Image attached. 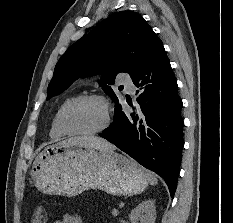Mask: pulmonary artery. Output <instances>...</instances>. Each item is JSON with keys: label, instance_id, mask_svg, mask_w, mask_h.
<instances>
[{"label": "pulmonary artery", "instance_id": "obj_1", "mask_svg": "<svg viewBox=\"0 0 233 223\" xmlns=\"http://www.w3.org/2000/svg\"><path fill=\"white\" fill-rule=\"evenodd\" d=\"M131 78H132L131 74H122V71H119V74H117V79H121L120 82L125 85L128 91L130 93H134L135 85L131 80Z\"/></svg>", "mask_w": 233, "mask_h": 223}]
</instances>
